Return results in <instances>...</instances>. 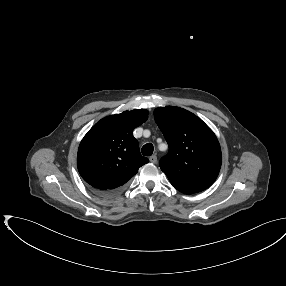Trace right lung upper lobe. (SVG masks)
I'll return each mask as SVG.
<instances>
[{"label":"right lung upper lobe","mask_w":286,"mask_h":286,"mask_svg":"<svg viewBox=\"0 0 286 286\" xmlns=\"http://www.w3.org/2000/svg\"><path fill=\"white\" fill-rule=\"evenodd\" d=\"M148 118L145 109L124 111L97 122L82 139L77 167L91 188L118 192L149 162L140 154L133 130Z\"/></svg>","instance_id":"right-lung-upper-lobe-1"}]
</instances>
